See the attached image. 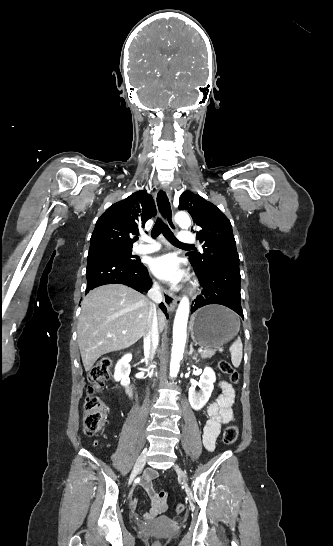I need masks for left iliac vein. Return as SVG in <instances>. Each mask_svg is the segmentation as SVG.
I'll list each match as a JSON object with an SVG mask.
<instances>
[{
    "mask_svg": "<svg viewBox=\"0 0 333 546\" xmlns=\"http://www.w3.org/2000/svg\"><path fill=\"white\" fill-rule=\"evenodd\" d=\"M175 470L177 471V473H178L181 477L185 478V474H184V472L179 468V466L175 465Z\"/></svg>",
    "mask_w": 333,
    "mask_h": 546,
    "instance_id": "4c4485c4",
    "label": "left iliac vein"
}]
</instances>
